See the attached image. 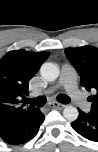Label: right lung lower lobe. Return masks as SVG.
Returning a JSON list of instances; mask_svg holds the SVG:
<instances>
[{"label":"right lung lower lobe","mask_w":98,"mask_h":152,"mask_svg":"<svg viewBox=\"0 0 98 152\" xmlns=\"http://www.w3.org/2000/svg\"><path fill=\"white\" fill-rule=\"evenodd\" d=\"M44 118L42 112L37 109L22 120L17 126L6 133L0 134V139L12 145L26 143L37 134Z\"/></svg>","instance_id":"right-lung-lower-lobe-1"}]
</instances>
